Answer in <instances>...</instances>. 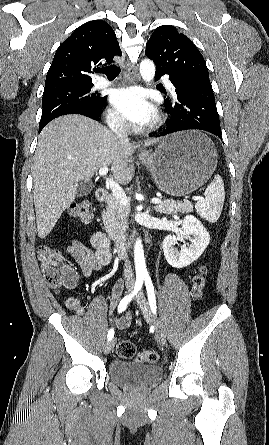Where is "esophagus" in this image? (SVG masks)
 <instances>
[{
	"instance_id": "esophagus-1",
	"label": "esophagus",
	"mask_w": 269,
	"mask_h": 445,
	"mask_svg": "<svg viewBox=\"0 0 269 445\" xmlns=\"http://www.w3.org/2000/svg\"><path fill=\"white\" fill-rule=\"evenodd\" d=\"M126 76L133 82H138L140 80L137 68L131 63H126Z\"/></svg>"
}]
</instances>
